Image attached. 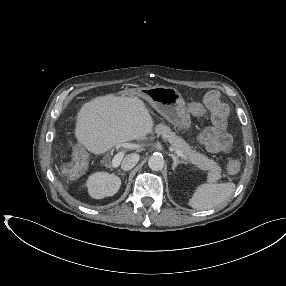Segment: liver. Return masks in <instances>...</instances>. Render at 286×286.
I'll list each match as a JSON object with an SVG mask.
<instances>
[{
	"mask_svg": "<svg viewBox=\"0 0 286 286\" xmlns=\"http://www.w3.org/2000/svg\"><path fill=\"white\" fill-rule=\"evenodd\" d=\"M153 125L142 100L108 94L82 105L77 114L75 137L88 151L99 155L123 142L144 139Z\"/></svg>",
	"mask_w": 286,
	"mask_h": 286,
	"instance_id": "obj_1",
	"label": "liver"
}]
</instances>
